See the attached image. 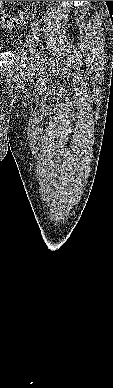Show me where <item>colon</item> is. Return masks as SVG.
Segmentation results:
<instances>
[{"label": "colon", "instance_id": "colon-1", "mask_svg": "<svg viewBox=\"0 0 113 388\" xmlns=\"http://www.w3.org/2000/svg\"><path fill=\"white\" fill-rule=\"evenodd\" d=\"M40 2L41 1H30L29 5L17 15L0 12L1 28H10L23 24L26 19L34 13Z\"/></svg>", "mask_w": 113, "mask_h": 388}]
</instances>
